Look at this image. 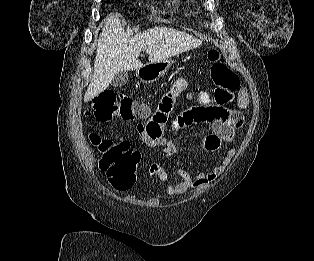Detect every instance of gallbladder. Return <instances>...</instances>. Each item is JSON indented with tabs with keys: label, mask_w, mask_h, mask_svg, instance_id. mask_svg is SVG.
<instances>
[{
	"label": "gallbladder",
	"mask_w": 314,
	"mask_h": 261,
	"mask_svg": "<svg viewBox=\"0 0 314 261\" xmlns=\"http://www.w3.org/2000/svg\"><path fill=\"white\" fill-rule=\"evenodd\" d=\"M128 77L127 71H121L113 78L111 85L113 87H121L127 83Z\"/></svg>",
	"instance_id": "bac80fb5"
}]
</instances>
